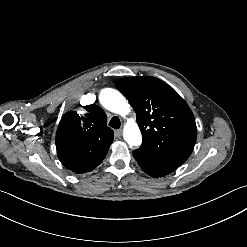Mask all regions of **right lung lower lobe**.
<instances>
[{
  "instance_id": "obj_1",
  "label": "right lung lower lobe",
  "mask_w": 247,
  "mask_h": 247,
  "mask_svg": "<svg viewBox=\"0 0 247 247\" xmlns=\"http://www.w3.org/2000/svg\"><path fill=\"white\" fill-rule=\"evenodd\" d=\"M94 169V168H93ZM93 169H91V170H81V171H79V172H75V171H73V172H75V173H86V172H89V171H92Z\"/></svg>"
}]
</instances>
